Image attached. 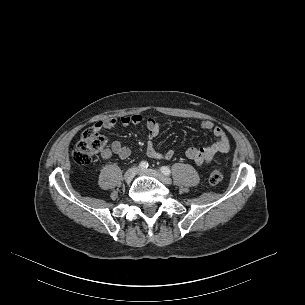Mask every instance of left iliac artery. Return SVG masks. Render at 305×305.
I'll return each instance as SVG.
<instances>
[{"instance_id":"obj_1","label":"left iliac artery","mask_w":305,"mask_h":305,"mask_svg":"<svg viewBox=\"0 0 305 305\" xmlns=\"http://www.w3.org/2000/svg\"><path fill=\"white\" fill-rule=\"evenodd\" d=\"M160 170L165 175H170V173H171L170 169L168 167H166V166L161 167Z\"/></svg>"}]
</instances>
